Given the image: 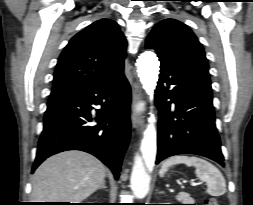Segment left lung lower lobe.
<instances>
[{
  "instance_id": "obj_1",
  "label": "left lung lower lobe",
  "mask_w": 253,
  "mask_h": 205,
  "mask_svg": "<svg viewBox=\"0 0 253 205\" xmlns=\"http://www.w3.org/2000/svg\"><path fill=\"white\" fill-rule=\"evenodd\" d=\"M158 57L161 69L155 98L159 110L156 163L173 155L196 154L224 166L211 87L176 61ZM171 103L176 105L174 111Z\"/></svg>"
}]
</instances>
